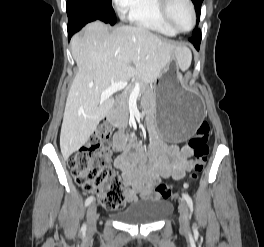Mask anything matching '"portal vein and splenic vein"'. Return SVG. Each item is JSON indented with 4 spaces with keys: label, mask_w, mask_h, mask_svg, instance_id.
<instances>
[{
    "label": "portal vein and splenic vein",
    "mask_w": 264,
    "mask_h": 247,
    "mask_svg": "<svg viewBox=\"0 0 264 247\" xmlns=\"http://www.w3.org/2000/svg\"><path fill=\"white\" fill-rule=\"evenodd\" d=\"M126 86H127V82L126 81H119V82H116V83H112L110 85V87H108L105 91H103L100 94V99L101 100H106L110 96H112L114 93H116L117 91L125 89ZM139 88H140V83L136 82L135 89L139 90Z\"/></svg>",
    "instance_id": "18ae733b"
}]
</instances>
